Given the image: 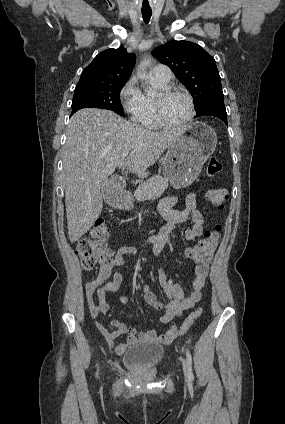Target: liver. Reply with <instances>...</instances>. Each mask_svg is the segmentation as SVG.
Masks as SVG:
<instances>
[{"label":"liver","instance_id":"obj_1","mask_svg":"<svg viewBox=\"0 0 285 424\" xmlns=\"http://www.w3.org/2000/svg\"><path fill=\"white\" fill-rule=\"evenodd\" d=\"M181 135L155 132L131 123L116 113L85 108L76 112L66 130L63 148V187L69 240L76 242L92 227L103 209L101 182L116 167L139 177ZM129 152L127 158L122 154Z\"/></svg>","mask_w":285,"mask_h":424}]
</instances>
